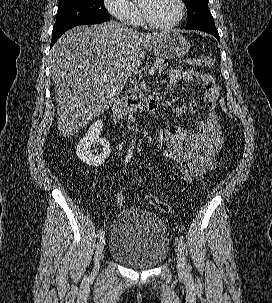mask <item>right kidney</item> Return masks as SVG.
<instances>
[{
	"label": "right kidney",
	"instance_id": "1",
	"mask_svg": "<svg viewBox=\"0 0 272 303\" xmlns=\"http://www.w3.org/2000/svg\"><path fill=\"white\" fill-rule=\"evenodd\" d=\"M103 129L102 120L95 121L90 125L85 136L80 140L77 146V156L78 158L92 167H98L105 162V160L110 155V144L106 139L99 138V134ZM92 144H99L102 147L100 154L92 155L90 151V146Z\"/></svg>",
	"mask_w": 272,
	"mask_h": 303
}]
</instances>
